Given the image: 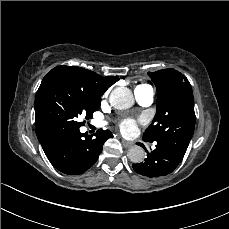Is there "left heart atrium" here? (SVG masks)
<instances>
[{
	"label": "left heart atrium",
	"mask_w": 229,
	"mask_h": 229,
	"mask_svg": "<svg viewBox=\"0 0 229 229\" xmlns=\"http://www.w3.org/2000/svg\"><path fill=\"white\" fill-rule=\"evenodd\" d=\"M143 123V120L125 118L118 122V127L123 134L134 135L139 132V125Z\"/></svg>",
	"instance_id": "obj_1"
}]
</instances>
